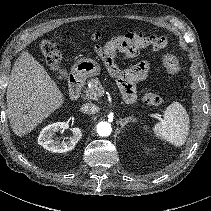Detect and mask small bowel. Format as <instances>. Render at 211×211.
Instances as JSON below:
<instances>
[{
	"label": "small bowel",
	"mask_w": 211,
	"mask_h": 211,
	"mask_svg": "<svg viewBox=\"0 0 211 211\" xmlns=\"http://www.w3.org/2000/svg\"><path fill=\"white\" fill-rule=\"evenodd\" d=\"M124 34L131 35L133 32ZM112 42L113 41L108 42L106 46ZM109 71L117 79L124 101L128 104H133L137 99L135 84L146 77L148 65L142 63L125 71H120L115 65L112 69H109Z\"/></svg>",
	"instance_id": "obj_1"
}]
</instances>
